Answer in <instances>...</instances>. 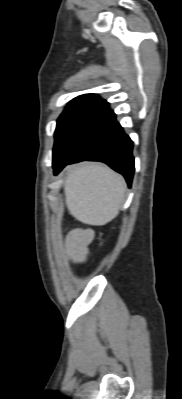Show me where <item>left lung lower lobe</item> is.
Wrapping results in <instances>:
<instances>
[{
  "mask_svg": "<svg viewBox=\"0 0 182 399\" xmlns=\"http://www.w3.org/2000/svg\"><path fill=\"white\" fill-rule=\"evenodd\" d=\"M133 143L115 120L108 103L88 115L61 154L53 160L54 174L80 161H100L122 174L131 187L134 173Z\"/></svg>",
  "mask_w": 182,
  "mask_h": 399,
  "instance_id": "0a47b994",
  "label": "left lung lower lobe"
}]
</instances>
